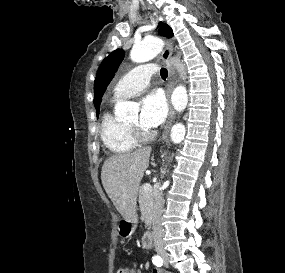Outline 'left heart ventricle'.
Segmentation results:
<instances>
[{"label": "left heart ventricle", "instance_id": "obj_1", "mask_svg": "<svg viewBox=\"0 0 285 273\" xmlns=\"http://www.w3.org/2000/svg\"><path fill=\"white\" fill-rule=\"evenodd\" d=\"M128 124L129 125H132V126H141L140 125V122H139V118L138 116H134L133 118H131L129 121H128ZM143 128V127H142ZM144 129V128H143ZM145 131H149L148 129H144Z\"/></svg>", "mask_w": 285, "mask_h": 273}]
</instances>
